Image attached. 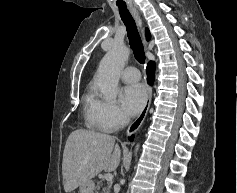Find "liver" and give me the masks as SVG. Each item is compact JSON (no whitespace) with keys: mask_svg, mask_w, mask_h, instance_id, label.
Wrapping results in <instances>:
<instances>
[{"mask_svg":"<svg viewBox=\"0 0 237 193\" xmlns=\"http://www.w3.org/2000/svg\"><path fill=\"white\" fill-rule=\"evenodd\" d=\"M121 150L115 139L105 133L78 129L65 145L62 162L66 193L90 181L102 170L114 171L119 166Z\"/></svg>","mask_w":237,"mask_h":193,"instance_id":"1","label":"liver"}]
</instances>
